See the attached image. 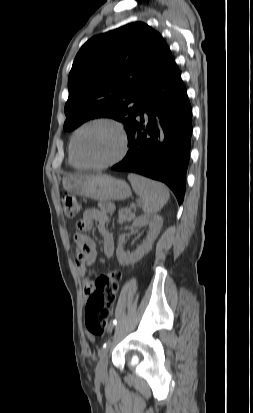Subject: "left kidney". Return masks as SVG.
<instances>
[{
  "label": "left kidney",
  "mask_w": 253,
  "mask_h": 413,
  "mask_svg": "<svg viewBox=\"0 0 253 413\" xmlns=\"http://www.w3.org/2000/svg\"><path fill=\"white\" fill-rule=\"evenodd\" d=\"M145 224H149L147 238L140 246H138L136 251L132 253L125 252L123 249V245L125 243V235L122 234L119 236L116 255L121 265H129L138 262L152 249V245L162 228L163 218L158 215H143L136 218L130 228H137Z\"/></svg>",
  "instance_id": "5707ae66"
}]
</instances>
